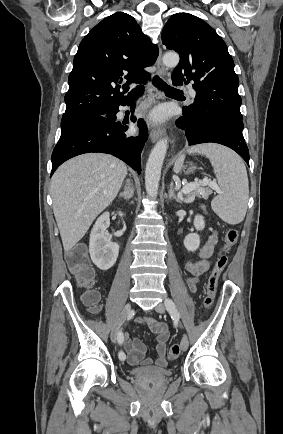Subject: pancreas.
Returning <instances> with one entry per match:
<instances>
[{"mask_svg": "<svg viewBox=\"0 0 283 434\" xmlns=\"http://www.w3.org/2000/svg\"><path fill=\"white\" fill-rule=\"evenodd\" d=\"M211 193L212 190L204 187L203 185L202 187H197L196 189H194V191L190 193V195L197 196L198 198L207 199Z\"/></svg>", "mask_w": 283, "mask_h": 434, "instance_id": "cf45deb5", "label": "pancreas"}]
</instances>
